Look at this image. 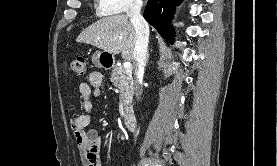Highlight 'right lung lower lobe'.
Instances as JSON below:
<instances>
[{
	"instance_id": "obj_1",
	"label": "right lung lower lobe",
	"mask_w": 277,
	"mask_h": 166,
	"mask_svg": "<svg viewBox=\"0 0 277 166\" xmlns=\"http://www.w3.org/2000/svg\"><path fill=\"white\" fill-rule=\"evenodd\" d=\"M182 0H149L144 11V18L149 24L170 41H174V29L170 26L175 6Z\"/></svg>"
}]
</instances>
